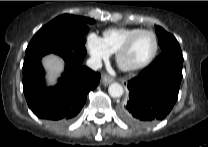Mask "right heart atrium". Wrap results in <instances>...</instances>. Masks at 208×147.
<instances>
[{"mask_svg": "<svg viewBox=\"0 0 208 147\" xmlns=\"http://www.w3.org/2000/svg\"><path fill=\"white\" fill-rule=\"evenodd\" d=\"M87 49L90 56L96 62L107 59L110 56V51L106 47L103 39L95 33H90L87 37Z\"/></svg>", "mask_w": 208, "mask_h": 147, "instance_id": "d8ad5b80", "label": "right heart atrium"}]
</instances>
